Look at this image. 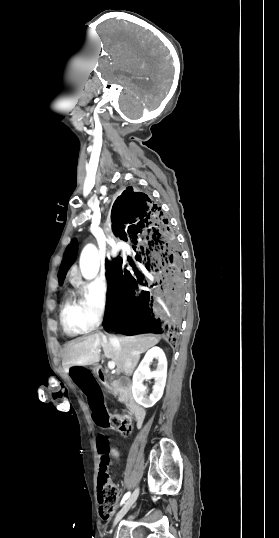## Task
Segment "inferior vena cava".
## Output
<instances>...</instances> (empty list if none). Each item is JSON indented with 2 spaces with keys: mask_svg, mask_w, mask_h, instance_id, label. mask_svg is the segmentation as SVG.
<instances>
[{
  "mask_svg": "<svg viewBox=\"0 0 279 538\" xmlns=\"http://www.w3.org/2000/svg\"><path fill=\"white\" fill-rule=\"evenodd\" d=\"M110 344L113 345V347H115V350H121L119 349L120 348V343H119V340L117 338H110Z\"/></svg>",
  "mask_w": 279,
  "mask_h": 538,
  "instance_id": "inferior-vena-cava-1",
  "label": "inferior vena cava"
}]
</instances>
